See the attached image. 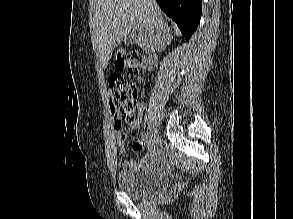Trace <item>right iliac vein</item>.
<instances>
[{"label":"right iliac vein","mask_w":293,"mask_h":219,"mask_svg":"<svg viewBox=\"0 0 293 219\" xmlns=\"http://www.w3.org/2000/svg\"><path fill=\"white\" fill-rule=\"evenodd\" d=\"M149 139L151 142H155V140L157 139V130L156 129L151 130Z\"/></svg>","instance_id":"63e3f726"}]
</instances>
